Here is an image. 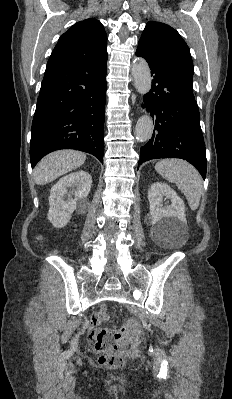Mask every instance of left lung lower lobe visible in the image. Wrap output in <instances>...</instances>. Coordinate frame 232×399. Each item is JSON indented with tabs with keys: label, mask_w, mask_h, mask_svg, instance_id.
I'll list each match as a JSON object with an SVG mask.
<instances>
[{
	"label": "left lung lower lobe",
	"mask_w": 232,
	"mask_h": 399,
	"mask_svg": "<svg viewBox=\"0 0 232 399\" xmlns=\"http://www.w3.org/2000/svg\"><path fill=\"white\" fill-rule=\"evenodd\" d=\"M153 77L142 105L153 117L152 138L140 149L139 165L151 159L180 158L194 165L206 177L205 143L200 113L189 86L166 62L154 53L137 48Z\"/></svg>",
	"instance_id": "1"
}]
</instances>
